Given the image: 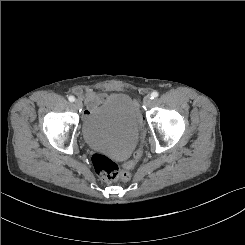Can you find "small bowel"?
<instances>
[{
	"instance_id": "obj_1",
	"label": "small bowel",
	"mask_w": 245,
	"mask_h": 245,
	"mask_svg": "<svg viewBox=\"0 0 245 245\" xmlns=\"http://www.w3.org/2000/svg\"><path fill=\"white\" fill-rule=\"evenodd\" d=\"M105 99L104 95H96L94 93H88L87 94V111H86V115H89L92 110H94L98 103H100L101 101H103Z\"/></svg>"
}]
</instances>
